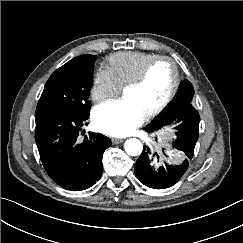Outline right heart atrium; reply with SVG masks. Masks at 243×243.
Instances as JSON below:
<instances>
[{"instance_id":"right-heart-atrium-1","label":"right heart atrium","mask_w":243,"mask_h":243,"mask_svg":"<svg viewBox=\"0 0 243 243\" xmlns=\"http://www.w3.org/2000/svg\"><path fill=\"white\" fill-rule=\"evenodd\" d=\"M120 86L105 69H97L92 76V83L90 88V97L93 102L99 104L116 97L120 92Z\"/></svg>"}]
</instances>
